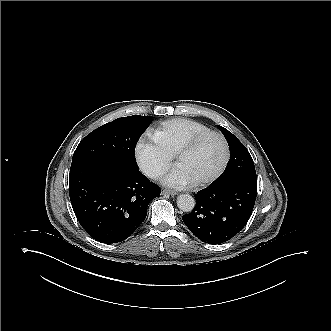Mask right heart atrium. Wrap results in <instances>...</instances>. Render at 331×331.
Returning <instances> with one entry per match:
<instances>
[{
    "instance_id": "right-heart-atrium-1",
    "label": "right heart atrium",
    "mask_w": 331,
    "mask_h": 331,
    "mask_svg": "<svg viewBox=\"0 0 331 331\" xmlns=\"http://www.w3.org/2000/svg\"><path fill=\"white\" fill-rule=\"evenodd\" d=\"M135 160L139 168L153 178L160 177L170 166V155L164 153L155 142L149 139L139 141Z\"/></svg>"
}]
</instances>
